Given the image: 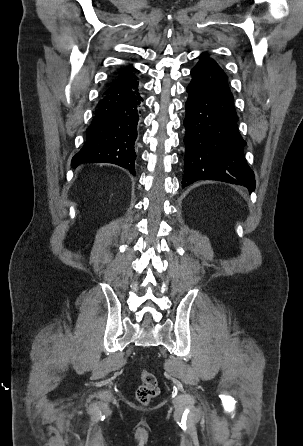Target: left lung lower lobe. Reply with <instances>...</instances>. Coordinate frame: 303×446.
<instances>
[{"instance_id":"0a47b994","label":"left lung lower lobe","mask_w":303,"mask_h":446,"mask_svg":"<svg viewBox=\"0 0 303 446\" xmlns=\"http://www.w3.org/2000/svg\"><path fill=\"white\" fill-rule=\"evenodd\" d=\"M191 75L185 105L182 186L197 180H218L253 191L255 177L243 154L246 142L238 132L233 95L224 71L203 53Z\"/></svg>"}]
</instances>
